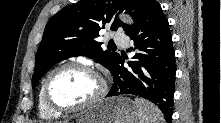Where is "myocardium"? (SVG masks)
Wrapping results in <instances>:
<instances>
[{"instance_id":"myocardium-1","label":"myocardium","mask_w":221,"mask_h":123,"mask_svg":"<svg viewBox=\"0 0 221 123\" xmlns=\"http://www.w3.org/2000/svg\"><path fill=\"white\" fill-rule=\"evenodd\" d=\"M67 68L82 69L97 77L100 82V89L96 94V96H94L91 100L78 105L62 106L56 103L50 95V83L56 73ZM107 91H108V86L104 76L98 70H96L91 64L80 61H68L56 66L47 74L44 83L42 85V95L46 105L53 111L58 112L60 114L90 109L96 106L97 104H99L105 98Z\"/></svg>"}]
</instances>
